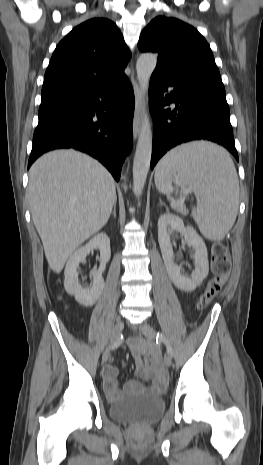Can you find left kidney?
I'll return each instance as SVG.
<instances>
[{
	"mask_svg": "<svg viewBox=\"0 0 263 465\" xmlns=\"http://www.w3.org/2000/svg\"><path fill=\"white\" fill-rule=\"evenodd\" d=\"M176 231L184 236L186 243L194 250V265L190 277L182 274L181 266L174 262L171 234ZM158 241L164 264L173 284L181 290L191 292L201 285L209 272L207 248L203 239L191 226H185L182 219L174 214H163L158 220Z\"/></svg>",
	"mask_w": 263,
	"mask_h": 465,
	"instance_id": "1",
	"label": "left kidney"
}]
</instances>
